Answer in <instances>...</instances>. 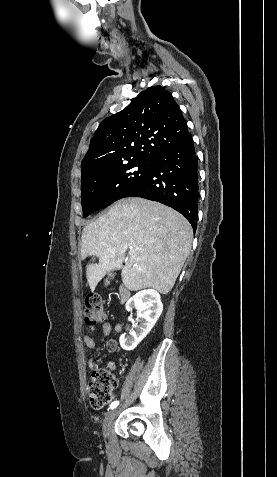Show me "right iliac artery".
Listing matches in <instances>:
<instances>
[{"mask_svg": "<svg viewBox=\"0 0 277 477\" xmlns=\"http://www.w3.org/2000/svg\"><path fill=\"white\" fill-rule=\"evenodd\" d=\"M118 404H119V401L112 402L111 405H110V409L116 408L118 406Z\"/></svg>", "mask_w": 277, "mask_h": 477, "instance_id": "1", "label": "right iliac artery"}]
</instances>
